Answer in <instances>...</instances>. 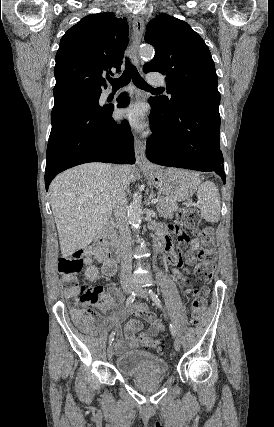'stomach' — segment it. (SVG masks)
I'll return each instance as SVG.
<instances>
[{"label": "stomach", "instance_id": "obj_1", "mask_svg": "<svg viewBox=\"0 0 274 427\" xmlns=\"http://www.w3.org/2000/svg\"><path fill=\"white\" fill-rule=\"evenodd\" d=\"M145 176L157 190H160L168 200L174 202H185L200 186L199 174L178 170V168H160L152 166L150 172H145Z\"/></svg>", "mask_w": 274, "mask_h": 427}]
</instances>
